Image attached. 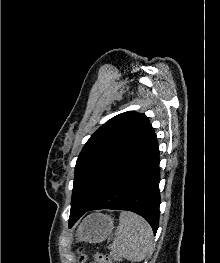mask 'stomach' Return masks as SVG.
Listing matches in <instances>:
<instances>
[{
    "mask_svg": "<svg viewBox=\"0 0 220 263\" xmlns=\"http://www.w3.org/2000/svg\"><path fill=\"white\" fill-rule=\"evenodd\" d=\"M113 228V218L105 214L93 213L78 226L76 238L80 242L100 243L111 234Z\"/></svg>",
    "mask_w": 220,
    "mask_h": 263,
    "instance_id": "0dacf381",
    "label": "stomach"
}]
</instances>
